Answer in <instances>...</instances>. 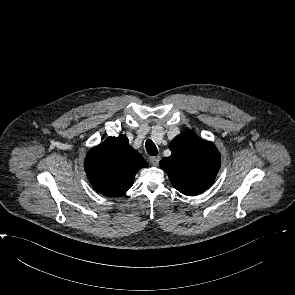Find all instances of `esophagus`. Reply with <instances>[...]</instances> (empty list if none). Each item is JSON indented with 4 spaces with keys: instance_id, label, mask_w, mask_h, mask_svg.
<instances>
[{
    "instance_id": "esophagus-1",
    "label": "esophagus",
    "mask_w": 295,
    "mask_h": 295,
    "mask_svg": "<svg viewBox=\"0 0 295 295\" xmlns=\"http://www.w3.org/2000/svg\"><path fill=\"white\" fill-rule=\"evenodd\" d=\"M149 160L153 165H158L160 161V156H151L149 157Z\"/></svg>"
}]
</instances>
